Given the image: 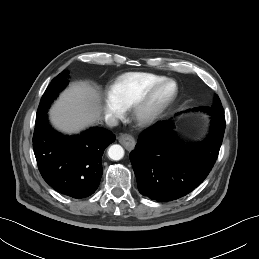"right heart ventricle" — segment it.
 Returning a JSON list of instances; mask_svg holds the SVG:
<instances>
[{
	"instance_id": "obj_1",
	"label": "right heart ventricle",
	"mask_w": 259,
	"mask_h": 259,
	"mask_svg": "<svg viewBox=\"0 0 259 259\" xmlns=\"http://www.w3.org/2000/svg\"><path fill=\"white\" fill-rule=\"evenodd\" d=\"M165 76L147 72H129L119 76L107 89L109 99L123 110L153 84Z\"/></svg>"
}]
</instances>
